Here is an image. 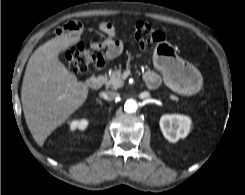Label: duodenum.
Listing matches in <instances>:
<instances>
[{"label":"duodenum","instance_id":"duodenum-1","mask_svg":"<svg viewBox=\"0 0 245 195\" xmlns=\"http://www.w3.org/2000/svg\"><path fill=\"white\" fill-rule=\"evenodd\" d=\"M103 82H104V78L102 76H91L86 80V84L92 89H97L101 87ZM146 84L151 89H154L159 85L156 81H151V82L146 81Z\"/></svg>","mask_w":245,"mask_h":195}]
</instances>
